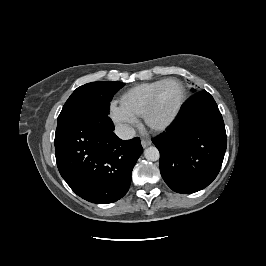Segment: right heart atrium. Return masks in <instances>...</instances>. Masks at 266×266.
Here are the masks:
<instances>
[{
  "mask_svg": "<svg viewBox=\"0 0 266 266\" xmlns=\"http://www.w3.org/2000/svg\"><path fill=\"white\" fill-rule=\"evenodd\" d=\"M109 115L112 121L119 126L130 127L137 122L136 116L116 101L110 102Z\"/></svg>",
  "mask_w": 266,
  "mask_h": 266,
  "instance_id": "right-heart-atrium-1",
  "label": "right heart atrium"
}]
</instances>
